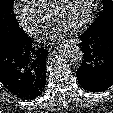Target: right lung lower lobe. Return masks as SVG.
<instances>
[{
  "label": "right lung lower lobe",
  "mask_w": 113,
  "mask_h": 113,
  "mask_svg": "<svg viewBox=\"0 0 113 113\" xmlns=\"http://www.w3.org/2000/svg\"><path fill=\"white\" fill-rule=\"evenodd\" d=\"M48 51L38 49L18 27L0 38V81L22 100L41 95L46 85Z\"/></svg>",
  "instance_id": "right-lung-lower-lobe-1"
}]
</instances>
